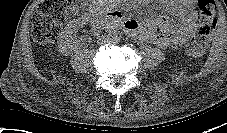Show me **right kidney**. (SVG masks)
I'll return each mask as SVG.
<instances>
[{"mask_svg": "<svg viewBox=\"0 0 227 133\" xmlns=\"http://www.w3.org/2000/svg\"><path fill=\"white\" fill-rule=\"evenodd\" d=\"M84 24V20L81 19L73 20L68 24L67 28L65 29V34L59 43V51L61 53L67 52V48L72 49V47L74 46L73 43H77V41L74 40L76 33Z\"/></svg>", "mask_w": 227, "mask_h": 133, "instance_id": "ca27d5eb", "label": "right kidney"}]
</instances>
